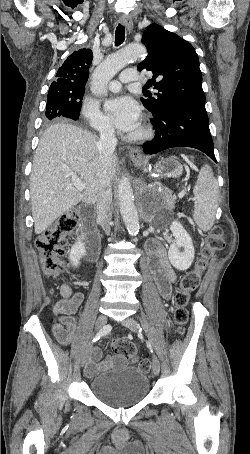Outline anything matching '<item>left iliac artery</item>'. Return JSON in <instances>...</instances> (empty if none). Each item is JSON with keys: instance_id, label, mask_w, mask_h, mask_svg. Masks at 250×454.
Instances as JSON below:
<instances>
[{"instance_id": "obj_1", "label": "left iliac artery", "mask_w": 250, "mask_h": 454, "mask_svg": "<svg viewBox=\"0 0 250 454\" xmlns=\"http://www.w3.org/2000/svg\"><path fill=\"white\" fill-rule=\"evenodd\" d=\"M140 332H141V328H140ZM147 346L149 347V349L151 350V352H153L151 343H150L149 341H147Z\"/></svg>"}]
</instances>
